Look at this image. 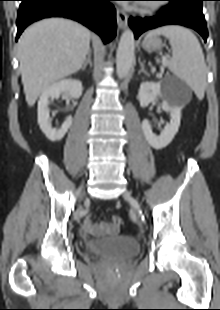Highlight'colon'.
<instances>
[{"label":"colon","mask_w":220,"mask_h":310,"mask_svg":"<svg viewBox=\"0 0 220 310\" xmlns=\"http://www.w3.org/2000/svg\"><path fill=\"white\" fill-rule=\"evenodd\" d=\"M120 225H121V218L118 216H113L112 217V227H113V230L115 232L119 229Z\"/></svg>","instance_id":"obj_1"}]
</instances>
